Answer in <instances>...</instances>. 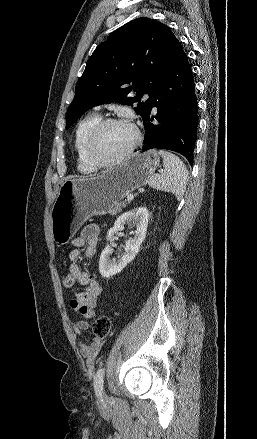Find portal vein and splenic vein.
<instances>
[{
  "instance_id": "portal-vein-and-splenic-vein-1",
  "label": "portal vein and splenic vein",
  "mask_w": 257,
  "mask_h": 439,
  "mask_svg": "<svg viewBox=\"0 0 257 439\" xmlns=\"http://www.w3.org/2000/svg\"><path fill=\"white\" fill-rule=\"evenodd\" d=\"M134 198V195L133 194H129L128 196H127V200H132Z\"/></svg>"
}]
</instances>
